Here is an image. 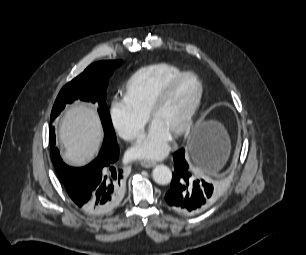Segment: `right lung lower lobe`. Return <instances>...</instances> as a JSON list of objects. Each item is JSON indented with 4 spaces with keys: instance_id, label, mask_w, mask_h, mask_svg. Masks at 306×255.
Returning <instances> with one entry per match:
<instances>
[{
    "instance_id": "1",
    "label": "right lung lower lobe",
    "mask_w": 306,
    "mask_h": 255,
    "mask_svg": "<svg viewBox=\"0 0 306 255\" xmlns=\"http://www.w3.org/2000/svg\"><path fill=\"white\" fill-rule=\"evenodd\" d=\"M118 156L117 142H105L98 157L84 167L74 168L63 162L57 165L58 177L78 207L93 215H103L118 205L123 188L122 171L116 164Z\"/></svg>"
}]
</instances>
